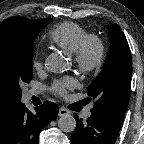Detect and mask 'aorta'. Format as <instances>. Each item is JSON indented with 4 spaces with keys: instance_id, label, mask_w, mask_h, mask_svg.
I'll list each match as a JSON object with an SVG mask.
<instances>
[{
    "instance_id": "obj_1",
    "label": "aorta",
    "mask_w": 144,
    "mask_h": 144,
    "mask_svg": "<svg viewBox=\"0 0 144 144\" xmlns=\"http://www.w3.org/2000/svg\"><path fill=\"white\" fill-rule=\"evenodd\" d=\"M45 67L50 72L58 73L65 69L66 64L61 55L52 53L46 58ZM58 127L63 132H73L76 128V120L72 115L64 114L58 120Z\"/></svg>"
}]
</instances>
